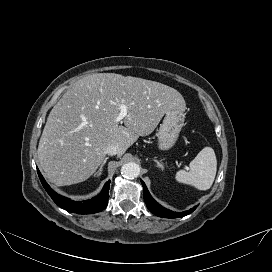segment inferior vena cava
<instances>
[{
  "instance_id": "1",
  "label": "inferior vena cava",
  "mask_w": 272,
  "mask_h": 272,
  "mask_svg": "<svg viewBox=\"0 0 272 272\" xmlns=\"http://www.w3.org/2000/svg\"><path fill=\"white\" fill-rule=\"evenodd\" d=\"M105 152L108 155H116L118 154V147L114 144L108 145L105 149Z\"/></svg>"
}]
</instances>
